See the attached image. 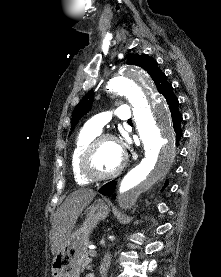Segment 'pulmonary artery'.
<instances>
[{"mask_svg":"<svg viewBox=\"0 0 221 277\" xmlns=\"http://www.w3.org/2000/svg\"><path fill=\"white\" fill-rule=\"evenodd\" d=\"M113 115H115L120 120L127 121L131 119L130 107L128 105H120L113 112L106 111L99 113L88 120L85 127L96 133H100L102 128L111 120Z\"/></svg>","mask_w":221,"mask_h":277,"instance_id":"obj_1","label":"pulmonary artery"}]
</instances>
